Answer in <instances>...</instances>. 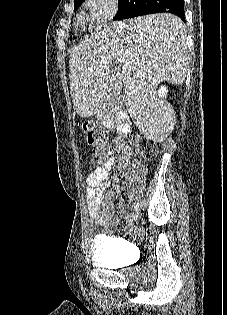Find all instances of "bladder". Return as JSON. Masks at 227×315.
Returning <instances> with one entry per match:
<instances>
[{
  "label": "bladder",
  "mask_w": 227,
  "mask_h": 315,
  "mask_svg": "<svg viewBox=\"0 0 227 315\" xmlns=\"http://www.w3.org/2000/svg\"><path fill=\"white\" fill-rule=\"evenodd\" d=\"M127 242L117 238L94 237L91 245V261L104 268H113L125 263L123 256L111 254L110 249L124 248Z\"/></svg>",
  "instance_id": "1"
}]
</instances>
